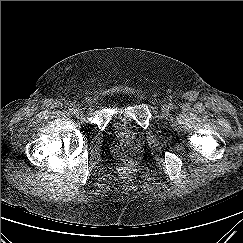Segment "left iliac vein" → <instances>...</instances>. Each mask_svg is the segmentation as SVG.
Here are the masks:
<instances>
[{"mask_svg": "<svg viewBox=\"0 0 243 243\" xmlns=\"http://www.w3.org/2000/svg\"><path fill=\"white\" fill-rule=\"evenodd\" d=\"M161 111H162V113L164 115H168V113H169L168 106L167 105H163Z\"/></svg>", "mask_w": 243, "mask_h": 243, "instance_id": "left-iliac-vein-1", "label": "left iliac vein"}]
</instances>
